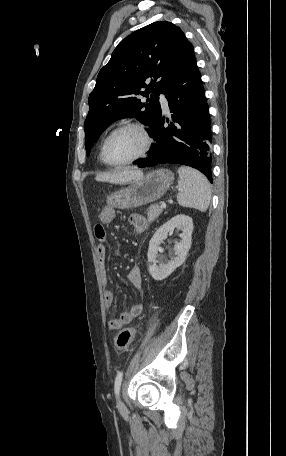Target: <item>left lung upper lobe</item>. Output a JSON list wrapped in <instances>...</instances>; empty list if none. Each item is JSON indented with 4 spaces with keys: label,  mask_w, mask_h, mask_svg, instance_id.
I'll list each match as a JSON object with an SVG mask.
<instances>
[{
    "label": "left lung upper lobe",
    "mask_w": 286,
    "mask_h": 456,
    "mask_svg": "<svg viewBox=\"0 0 286 456\" xmlns=\"http://www.w3.org/2000/svg\"><path fill=\"white\" fill-rule=\"evenodd\" d=\"M194 59L193 46L183 31L167 21L147 25L121 41L89 95L84 123L87 154L104 129L118 119L136 117L153 129L161 116L159 94H166ZM139 96L147 97L146 102Z\"/></svg>",
    "instance_id": "1"
}]
</instances>
